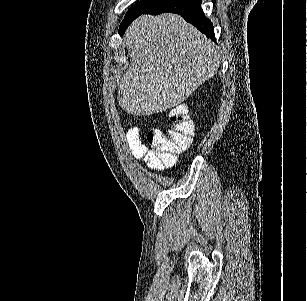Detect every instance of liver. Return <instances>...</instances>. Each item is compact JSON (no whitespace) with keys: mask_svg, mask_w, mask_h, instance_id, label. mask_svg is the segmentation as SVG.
Masks as SVG:
<instances>
[{"mask_svg":"<svg viewBox=\"0 0 307 301\" xmlns=\"http://www.w3.org/2000/svg\"><path fill=\"white\" fill-rule=\"evenodd\" d=\"M130 64L118 82L129 114H155L186 100L214 76L222 56L205 34L179 14H141L124 34Z\"/></svg>","mask_w":307,"mask_h":301,"instance_id":"obj_1","label":"liver"}]
</instances>
